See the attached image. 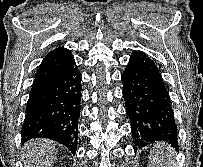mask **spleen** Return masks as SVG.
Segmentation results:
<instances>
[{
  "label": "spleen",
  "mask_w": 203,
  "mask_h": 167,
  "mask_svg": "<svg viewBox=\"0 0 203 167\" xmlns=\"http://www.w3.org/2000/svg\"><path fill=\"white\" fill-rule=\"evenodd\" d=\"M172 155L173 150L171 147L166 144L156 145L150 154L152 165L149 167H174Z\"/></svg>",
  "instance_id": "spleen-1"
}]
</instances>
